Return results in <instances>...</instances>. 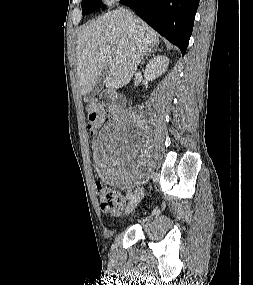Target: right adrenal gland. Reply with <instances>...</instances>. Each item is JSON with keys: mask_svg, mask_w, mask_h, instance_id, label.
I'll list each match as a JSON object with an SVG mask.
<instances>
[{"mask_svg": "<svg viewBox=\"0 0 253 285\" xmlns=\"http://www.w3.org/2000/svg\"><path fill=\"white\" fill-rule=\"evenodd\" d=\"M157 51H162V50L158 47H155L152 50H150L148 53H146L145 59L142 61V64H144V61L148 58L149 55H151L153 52H157Z\"/></svg>", "mask_w": 253, "mask_h": 285, "instance_id": "2a0ac1e0", "label": "right adrenal gland"}]
</instances>
